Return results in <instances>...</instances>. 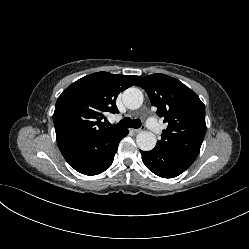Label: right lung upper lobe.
<instances>
[{"label": "right lung upper lobe", "mask_w": 249, "mask_h": 249, "mask_svg": "<svg viewBox=\"0 0 249 249\" xmlns=\"http://www.w3.org/2000/svg\"><path fill=\"white\" fill-rule=\"evenodd\" d=\"M140 76L98 72L85 76L59 96L53 114L57 141L88 140L121 130L105 126L106 112L119 113L116 98L119 92L136 85Z\"/></svg>", "instance_id": "obj_1"}]
</instances>
